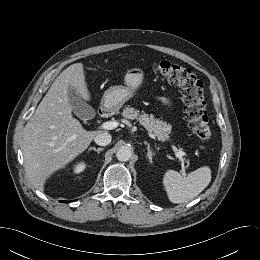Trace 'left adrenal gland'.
Returning <instances> with one entry per match:
<instances>
[{"label": "left adrenal gland", "instance_id": "1", "mask_svg": "<svg viewBox=\"0 0 260 260\" xmlns=\"http://www.w3.org/2000/svg\"><path fill=\"white\" fill-rule=\"evenodd\" d=\"M144 143H145V145H147V157H148L150 163H152V162H153V161H152V158H153V156H154V153H153V152L151 151V149H150V144L147 143V142H144Z\"/></svg>", "mask_w": 260, "mask_h": 260}]
</instances>
